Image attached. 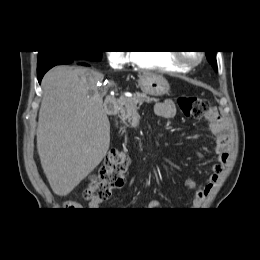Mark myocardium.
<instances>
[{
	"label": "myocardium",
	"mask_w": 260,
	"mask_h": 260,
	"mask_svg": "<svg viewBox=\"0 0 260 260\" xmlns=\"http://www.w3.org/2000/svg\"><path fill=\"white\" fill-rule=\"evenodd\" d=\"M185 52H174L173 60L180 66L190 68L201 62L203 54L201 52H193L194 55H188Z\"/></svg>",
	"instance_id": "obj_1"
}]
</instances>
